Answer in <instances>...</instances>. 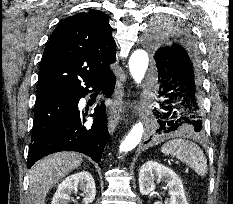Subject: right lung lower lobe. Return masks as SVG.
Here are the masks:
<instances>
[{
    "label": "right lung lower lobe",
    "mask_w": 233,
    "mask_h": 204,
    "mask_svg": "<svg viewBox=\"0 0 233 204\" xmlns=\"http://www.w3.org/2000/svg\"><path fill=\"white\" fill-rule=\"evenodd\" d=\"M92 87L102 91L107 97L111 95L115 87L113 72L103 76L91 86L77 94L71 106V114L51 132L32 142L29 146L28 168L43 156L59 151H77L90 156L96 163L101 161L102 153L108 138L107 119L105 106L102 103L96 107L94 121L91 127L83 126L84 115L78 111V102L85 97Z\"/></svg>",
    "instance_id": "1"
}]
</instances>
